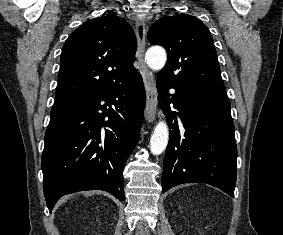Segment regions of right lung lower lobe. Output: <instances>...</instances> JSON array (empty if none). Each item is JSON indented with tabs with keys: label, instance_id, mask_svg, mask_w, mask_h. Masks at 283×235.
<instances>
[{
	"label": "right lung lower lobe",
	"instance_id": "98d812e1",
	"mask_svg": "<svg viewBox=\"0 0 283 235\" xmlns=\"http://www.w3.org/2000/svg\"><path fill=\"white\" fill-rule=\"evenodd\" d=\"M145 99L138 73L51 115L42 155L50 211L61 196L82 190H104L124 200L123 167L138 139Z\"/></svg>",
	"mask_w": 283,
	"mask_h": 235
}]
</instances>
